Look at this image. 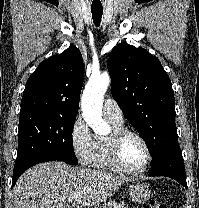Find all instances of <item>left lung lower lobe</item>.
<instances>
[{"label": "left lung lower lobe", "instance_id": "0a47b994", "mask_svg": "<svg viewBox=\"0 0 199 208\" xmlns=\"http://www.w3.org/2000/svg\"><path fill=\"white\" fill-rule=\"evenodd\" d=\"M150 176H167L187 188L185 167L179 145L169 149L159 161L151 165Z\"/></svg>", "mask_w": 199, "mask_h": 208}]
</instances>
